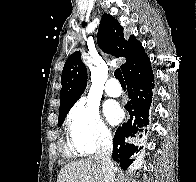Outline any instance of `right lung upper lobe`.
I'll list each match as a JSON object with an SVG mask.
<instances>
[{
  "label": "right lung upper lobe",
  "mask_w": 196,
  "mask_h": 182,
  "mask_svg": "<svg viewBox=\"0 0 196 182\" xmlns=\"http://www.w3.org/2000/svg\"><path fill=\"white\" fill-rule=\"evenodd\" d=\"M97 42L104 52L126 58L125 64L121 66L123 75L147 56L142 44L133 35L129 40L124 39L123 27L109 14L102 16ZM61 80L59 117L67 115L87 85V70L80 52H74L69 56Z\"/></svg>",
  "instance_id": "cb5924a9"
}]
</instances>
